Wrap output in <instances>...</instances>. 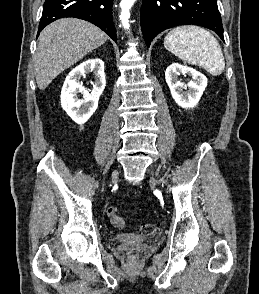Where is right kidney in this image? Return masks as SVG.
<instances>
[{"label": "right kidney", "instance_id": "obj_1", "mask_svg": "<svg viewBox=\"0 0 259 294\" xmlns=\"http://www.w3.org/2000/svg\"><path fill=\"white\" fill-rule=\"evenodd\" d=\"M93 73L95 82L91 92L86 90L80 82L81 77ZM104 62L99 59H88L76 66L65 79L61 91V105L66 113L77 124H84L96 111L98 101L105 89ZM83 99H78V93Z\"/></svg>", "mask_w": 259, "mask_h": 294}]
</instances>
